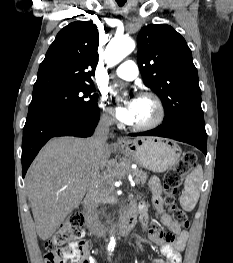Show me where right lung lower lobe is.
I'll return each instance as SVG.
<instances>
[{"label":"right lung lower lobe","instance_id":"1","mask_svg":"<svg viewBox=\"0 0 233 263\" xmlns=\"http://www.w3.org/2000/svg\"><path fill=\"white\" fill-rule=\"evenodd\" d=\"M100 112L98 106L79 114L56 116L45 120L25 124L22 142V175L32 163L39 150L55 136L88 137L98 124Z\"/></svg>","mask_w":233,"mask_h":263}]
</instances>
